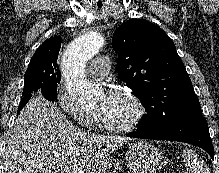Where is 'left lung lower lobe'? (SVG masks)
<instances>
[{
    "label": "left lung lower lobe",
    "instance_id": "obj_1",
    "mask_svg": "<svg viewBox=\"0 0 219 173\" xmlns=\"http://www.w3.org/2000/svg\"><path fill=\"white\" fill-rule=\"evenodd\" d=\"M128 137L186 142L204 149L214 159L207 122L202 114L189 115L158 131L136 130Z\"/></svg>",
    "mask_w": 219,
    "mask_h": 173
}]
</instances>
